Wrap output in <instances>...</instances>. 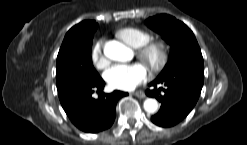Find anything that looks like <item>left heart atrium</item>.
Returning a JSON list of instances; mask_svg holds the SVG:
<instances>
[{"label": "left heart atrium", "mask_w": 247, "mask_h": 145, "mask_svg": "<svg viewBox=\"0 0 247 145\" xmlns=\"http://www.w3.org/2000/svg\"><path fill=\"white\" fill-rule=\"evenodd\" d=\"M148 77V70L141 63L116 64L105 72L107 83L121 90H132L147 81Z\"/></svg>", "instance_id": "1"}]
</instances>
